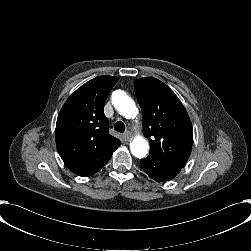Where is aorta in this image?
I'll list each match as a JSON object with an SVG mask.
<instances>
[{
    "instance_id": "762f6f07",
    "label": "aorta",
    "mask_w": 251,
    "mask_h": 251,
    "mask_svg": "<svg viewBox=\"0 0 251 251\" xmlns=\"http://www.w3.org/2000/svg\"><path fill=\"white\" fill-rule=\"evenodd\" d=\"M112 104L115 109L125 118H131L137 112L135 102L123 90H115L112 93ZM132 155L141 159L149 150V144L142 136H136L130 143Z\"/></svg>"
}]
</instances>
